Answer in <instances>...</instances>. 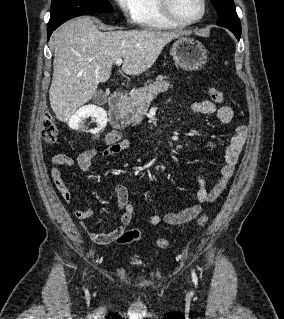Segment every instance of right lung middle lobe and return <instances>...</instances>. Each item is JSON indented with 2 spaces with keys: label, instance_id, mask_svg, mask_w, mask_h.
Segmentation results:
<instances>
[{
  "label": "right lung middle lobe",
  "instance_id": "1",
  "mask_svg": "<svg viewBox=\"0 0 284 319\" xmlns=\"http://www.w3.org/2000/svg\"><path fill=\"white\" fill-rule=\"evenodd\" d=\"M109 0H52L47 30L57 28L65 21L96 12H113Z\"/></svg>",
  "mask_w": 284,
  "mask_h": 319
}]
</instances>
